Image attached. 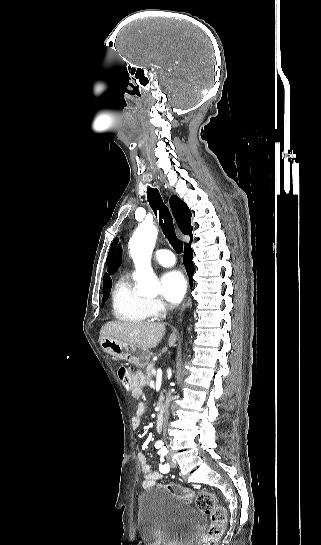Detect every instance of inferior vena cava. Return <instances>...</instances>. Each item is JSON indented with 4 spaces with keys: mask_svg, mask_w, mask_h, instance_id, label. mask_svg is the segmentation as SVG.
<instances>
[{
    "mask_svg": "<svg viewBox=\"0 0 321 545\" xmlns=\"http://www.w3.org/2000/svg\"><path fill=\"white\" fill-rule=\"evenodd\" d=\"M171 393L172 391H168L166 401H165V413H164L163 429H162L164 441H166V425L168 423V409H169V405L171 401Z\"/></svg>",
    "mask_w": 321,
    "mask_h": 545,
    "instance_id": "1",
    "label": "inferior vena cava"
}]
</instances>
